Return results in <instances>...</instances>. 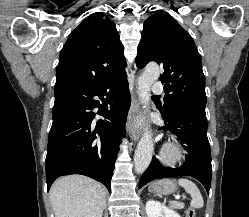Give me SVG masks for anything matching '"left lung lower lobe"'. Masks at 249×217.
I'll return each mask as SVG.
<instances>
[{"mask_svg":"<svg viewBox=\"0 0 249 217\" xmlns=\"http://www.w3.org/2000/svg\"><path fill=\"white\" fill-rule=\"evenodd\" d=\"M162 118L165 124L162 129L171 131L184 143L183 147L187 151L186 161L182 167L172 169L162 166L158 159L153 157L140 179L139 188L156 179L191 176L199 180L209 194L212 166L205 109L178 105L172 108L167 116L162 114Z\"/></svg>","mask_w":249,"mask_h":217,"instance_id":"1","label":"left lung lower lobe"}]
</instances>
